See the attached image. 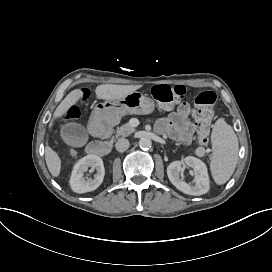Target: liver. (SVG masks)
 <instances>
[{"mask_svg":"<svg viewBox=\"0 0 272 272\" xmlns=\"http://www.w3.org/2000/svg\"><path fill=\"white\" fill-rule=\"evenodd\" d=\"M143 84L137 85H118V84H100L95 89L97 99L106 101H116L124 98L128 94L139 90ZM84 93L81 88L72 90L57 106L51 121L48 125V132L45 140V161L47 168L53 177L60 175L62 160L58 152L53 150L49 144V132L54 127L55 121L61 117L72 107L77 105L83 99Z\"/></svg>","mask_w":272,"mask_h":272,"instance_id":"liver-1","label":"liver"}]
</instances>
